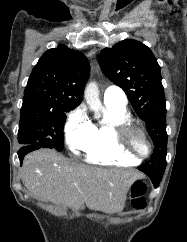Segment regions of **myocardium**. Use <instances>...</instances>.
Returning a JSON list of instances; mask_svg holds the SVG:
<instances>
[{
  "label": "myocardium",
  "instance_id": "1",
  "mask_svg": "<svg viewBox=\"0 0 187 242\" xmlns=\"http://www.w3.org/2000/svg\"><path fill=\"white\" fill-rule=\"evenodd\" d=\"M133 132H138L139 134H141L148 145V151L143 156L135 155L128 146V137ZM113 140L117 149L123 155L133 158L139 163L147 159L151 155L153 150L152 143L146 131L142 127L134 123L131 119L122 120L113 126Z\"/></svg>",
  "mask_w": 187,
  "mask_h": 242
}]
</instances>
